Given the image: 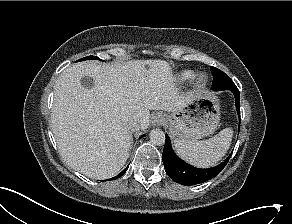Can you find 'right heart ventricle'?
Listing matches in <instances>:
<instances>
[{
    "label": "right heart ventricle",
    "mask_w": 292,
    "mask_h": 224,
    "mask_svg": "<svg viewBox=\"0 0 292 224\" xmlns=\"http://www.w3.org/2000/svg\"><path fill=\"white\" fill-rule=\"evenodd\" d=\"M195 73L191 70H184L179 73L177 79L180 83H185L194 77Z\"/></svg>",
    "instance_id": "right-heart-ventricle-1"
}]
</instances>
